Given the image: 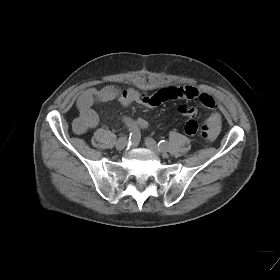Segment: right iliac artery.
<instances>
[{"label": "right iliac artery", "instance_id": "82829eb1", "mask_svg": "<svg viewBox=\"0 0 280 280\" xmlns=\"http://www.w3.org/2000/svg\"><path fill=\"white\" fill-rule=\"evenodd\" d=\"M125 124L128 126L130 135L128 139V148L135 147L139 144L141 139V133L139 128L136 126L133 120L130 118H124Z\"/></svg>", "mask_w": 280, "mask_h": 280}]
</instances>
